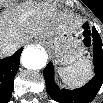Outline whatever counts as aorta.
I'll return each mask as SVG.
<instances>
[{"instance_id": "obj_1", "label": "aorta", "mask_w": 103, "mask_h": 103, "mask_svg": "<svg viewBox=\"0 0 103 103\" xmlns=\"http://www.w3.org/2000/svg\"><path fill=\"white\" fill-rule=\"evenodd\" d=\"M21 62L22 65L27 69H41L46 65L47 54L41 48L30 46L23 50Z\"/></svg>"}]
</instances>
